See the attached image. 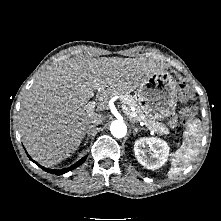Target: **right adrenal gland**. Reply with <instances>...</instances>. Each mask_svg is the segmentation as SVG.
Returning <instances> with one entry per match:
<instances>
[{"label":"right adrenal gland","instance_id":"2a0ac1e0","mask_svg":"<svg viewBox=\"0 0 221 221\" xmlns=\"http://www.w3.org/2000/svg\"><path fill=\"white\" fill-rule=\"evenodd\" d=\"M91 127H93V126H89V127H88V130L86 131V133H87V138H86L85 145L88 143V140H89V130H90Z\"/></svg>","mask_w":221,"mask_h":221}]
</instances>
